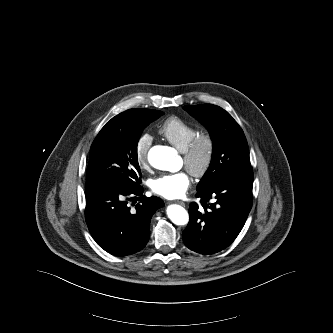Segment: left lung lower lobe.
Returning a JSON list of instances; mask_svg holds the SVG:
<instances>
[{
    "instance_id": "0a47b994",
    "label": "left lung lower lobe",
    "mask_w": 333,
    "mask_h": 333,
    "mask_svg": "<svg viewBox=\"0 0 333 333\" xmlns=\"http://www.w3.org/2000/svg\"><path fill=\"white\" fill-rule=\"evenodd\" d=\"M253 174L240 173L197 191L203 208L193 202L190 221L183 232L185 245L200 254L228 247L243 228L252 207ZM213 199L214 203H210Z\"/></svg>"
}]
</instances>
